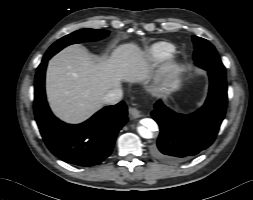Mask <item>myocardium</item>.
I'll use <instances>...</instances> for the list:
<instances>
[{
  "mask_svg": "<svg viewBox=\"0 0 253 200\" xmlns=\"http://www.w3.org/2000/svg\"><path fill=\"white\" fill-rule=\"evenodd\" d=\"M177 69V63L173 59H168L161 67L160 73L162 76H167Z\"/></svg>",
  "mask_w": 253,
  "mask_h": 200,
  "instance_id": "f54148a6",
  "label": "myocardium"
}]
</instances>
